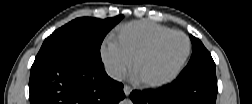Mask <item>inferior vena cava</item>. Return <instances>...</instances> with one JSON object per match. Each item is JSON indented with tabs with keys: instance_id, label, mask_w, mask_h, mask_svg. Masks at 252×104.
Masks as SVG:
<instances>
[{
	"instance_id": "inferior-vena-cava-1",
	"label": "inferior vena cava",
	"mask_w": 252,
	"mask_h": 104,
	"mask_svg": "<svg viewBox=\"0 0 252 104\" xmlns=\"http://www.w3.org/2000/svg\"><path fill=\"white\" fill-rule=\"evenodd\" d=\"M106 72L107 74L112 77L113 79L116 80H120L123 78V74L120 68H118L117 66H113V65H108L106 67Z\"/></svg>"
}]
</instances>
